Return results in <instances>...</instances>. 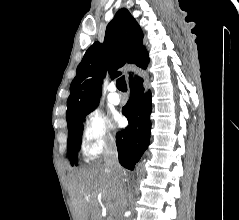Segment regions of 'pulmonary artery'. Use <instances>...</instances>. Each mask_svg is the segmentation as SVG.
Returning a JSON list of instances; mask_svg holds the SVG:
<instances>
[{"label": "pulmonary artery", "instance_id": "obj_1", "mask_svg": "<svg viewBox=\"0 0 239 220\" xmlns=\"http://www.w3.org/2000/svg\"><path fill=\"white\" fill-rule=\"evenodd\" d=\"M109 93H108V100L112 104H119L121 101V97L119 93L116 92L117 88L114 83H111L109 85Z\"/></svg>", "mask_w": 239, "mask_h": 220}]
</instances>
